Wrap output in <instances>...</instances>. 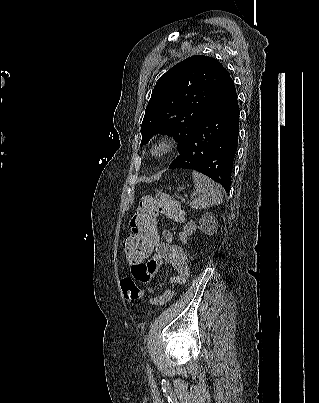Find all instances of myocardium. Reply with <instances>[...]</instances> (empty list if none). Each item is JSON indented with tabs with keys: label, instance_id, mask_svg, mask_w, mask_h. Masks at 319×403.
Here are the masks:
<instances>
[{
	"label": "myocardium",
	"instance_id": "myocardium-1",
	"mask_svg": "<svg viewBox=\"0 0 319 403\" xmlns=\"http://www.w3.org/2000/svg\"><path fill=\"white\" fill-rule=\"evenodd\" d=\"M175 147V140L171 136H162L149 149V154L153 159H162L172 152Z\"/></svg>",
	"mask_w": 319,
	"mask_h": 403
}]
</instances>
